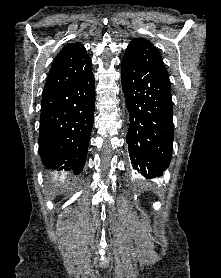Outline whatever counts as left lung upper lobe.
Wrapping results in <instances>:
<instances>
[{
  "mask_svg": "<svg viewBox=\"0 0 221 278\" xmlns=\"http://www.w3.org/2000/svg\"><path fill=\"white\" fill-rule=\"evenodd\" d=\"M122 66L138 71L158 69L167 73L159 51L151 42L143 38L130 42L122 59Z\"/></svg>",
  "mask_w": 221,
  "mask_h": 278,
  "instance_id": "1",
  "label": "left lung upper lobe"
}]
</instances>
